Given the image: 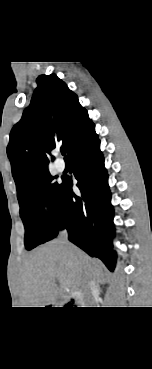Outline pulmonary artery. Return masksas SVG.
I'll list each match as a JSON object with an SVG mask.
<instances>
[{"instance_id":"e3ab8cb5","label":"pulmonary artery","mask_w":152,"mask_h":369,"mask_svg":"<svg viewBox=\"0 0 152 369\" xmlns=\"http://www.w3.org/2000/svg\"><path fill=\"white\" fill-rule=\"evenodd\" d=\"M55 168L57 171L62 172L65 169V163L62 160H57L55 162Z\"/></svg>"}]
</instances>
